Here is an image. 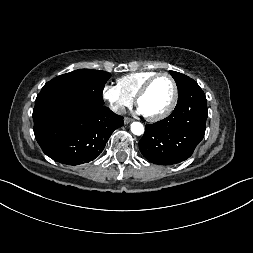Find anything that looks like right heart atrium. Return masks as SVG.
<instances>
[{
	"instance_id": "obj_1",
	"label": "right heart atrium",
	"mask_w": 253,
	"mask_h": 253,
	"mask_svg": "<svg viewBox=\"0 0 253 253\" xmlns=\"http://www.w3.org/2000/svg\"><path fill=\"white\" fill-rule=\"evenodd\" d=\"M102 96L111 110L117 114L123 113L133 102V100L124 94L117 85L113 84H106L103 86Z\"/></svg>"
}]
</instances>
